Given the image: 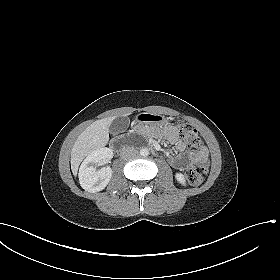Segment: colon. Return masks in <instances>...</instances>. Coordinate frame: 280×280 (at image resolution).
Segmentation results:
<instances>
[{"instance_id": "1", "label": "colon", "mask_w": 280, "mask_h": 280, "mask_svg": "<svg viewBox=\"0 0 280 280\" xmlns=\"http://www.w3.org/2000/svg\"><path fill=\"white\" fill-rule=\"evenodd\" d=\"M179 134L183 139L186 140L187 144L191 148H201V139L198 135V131L190 124L184 122L179 123ZM207 172V167L199 165L188 168L185 174L187 180L191 184L198 185L205 180Z\"/></svg>"}]
</instances>
